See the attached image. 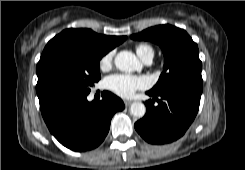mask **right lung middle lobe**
<instances>
[{"mask_svg": "<svg viewBox=\"0 0 245 170\" xmlns=\"http://www.w3.org/2000/svg\"><path fill=\"white\" fill-rule=\"evenodd\" d=\"M101 58L75 48L46 46L37 64L40 106L62 96L89 94L101 77Z\"/></svg>", "mask_w": 245, "mask_h": 170, "instance_id": "dd1d6c3e", "label": "right lung middle lobe"}]
</instances>
